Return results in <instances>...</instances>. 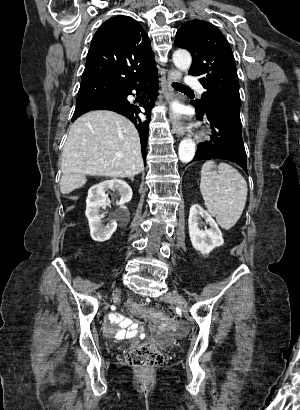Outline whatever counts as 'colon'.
Returning <instances> with one entry per match:
<instances>
[{
    "instance_id": "obj_1",
    "label": "colon",
    "mask_w": 300,
    "mask_h": 410,
    "mask_svg": "<svg viewBox=\"0 0 300 410\" xmlns=\"http://www.w3.org/2000/svg\"><path fill=\"white\" fill-rule=\"evenodd\" d=\"M128 307L134 312L150 316L149 323L163 327L174 321L171 312H159L158 309H149L130 302ZM163 356L160 351L151 343H144L127 353V363L139 370L148 371L159 366L162 363Z\"/></svg>"
}]
</instances>
